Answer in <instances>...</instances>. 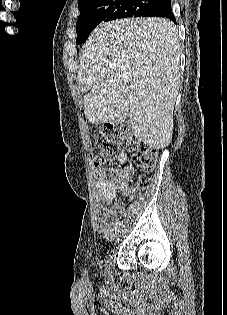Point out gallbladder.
<instances>
[{"mask_svg":"<svg viewBox=\"0 0 227 315\" xmlns=\"http://www.w3.org/2000/svg\"><path fill=\"white\" fill-rule=\"evenodd\" d=\"M127 119V116L126 115H123L122 118L119 120V122H125Z\"/></svg>","mask_w":227,"mask_h":315,"instance_id":"bac80fb5","label":"gallbladder"}]
</instances>
